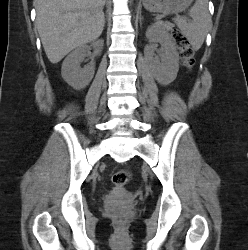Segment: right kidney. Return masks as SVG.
Returning a JSON list of instances; mask_svg holds the SVG:
<instances>
[{
	"label": "right kidney",
	"instance_id": "right-kidney-1",
	"mask_svg": "<svg viewBox=\"0 0 248 250\" xmlns=\"http://www.w3.org/2000/svg\"><path fill=\"white\" fill-rule=\"evenodd\" d=\"M104 41L99 39L94 41L91 46L94 48V56L100 55ZM90 47L82 45L71 52L63 61L61 75L64 81L76 90L85 88L94 76L95 65L91 63L84 68L80 67L81 61L88 53Z\"/></svg>",
	"mask_w": 248,
	"mask_h": 250
}]
</instances>
